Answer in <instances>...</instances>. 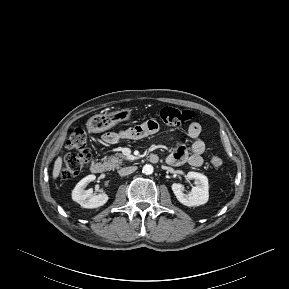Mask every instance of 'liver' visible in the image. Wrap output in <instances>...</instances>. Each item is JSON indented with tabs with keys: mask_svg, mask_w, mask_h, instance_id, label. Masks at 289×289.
Returning <instances> with one entry per match:
<instances>
[{
	"mask_svg": "<svg viewBox=\"0 0 289 289\" xmlns=\"http://www.w3.org/2000/svg\"><path fill=\"white\" fill-rule=\"evenodd\" d=\"M61 168H62V158L58 157L54 163V168H53V179H57L60 172H61Z\"/></svg>",
	"mask_w": 289,
	"mask_h": 289,
	"instance_id": "obj_1",
	"label": "liver"
}]
</instances>
